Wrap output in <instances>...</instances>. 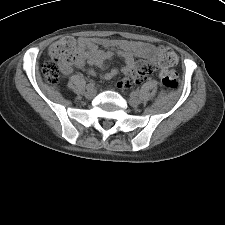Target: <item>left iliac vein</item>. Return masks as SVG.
Returning <instances> with one entry per match:
<instances>
[{"instance_id":"4c4485c4","label":"left iliac vein","mask_w":225,"mask_h":225,"mask_svg":"<svg viewBox=\"0 0 225 225\" xmlns=\"http://www.w3.org/2000/svg\"><path fill=\"white\" fill-rule=\"evenodd\" d=\"M128 102L132 107H136L140 104V100L135 96H131L129 98Z\"/></svg>"}]
</instances>
